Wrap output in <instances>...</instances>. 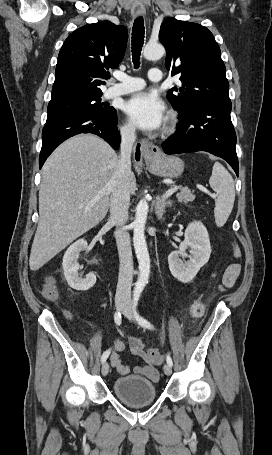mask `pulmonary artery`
Returning <instances> with one entry per match:
<instances>
[{"instance_id": "pulmonary-artery-1", "label": "pulmonary artery", "mask_w": 272, "mask_h": 455, "mask_svg": "<svg viewBox=\"0 0 272 455\" xmlns=\"http://www.w3.org/2000/svg\"><path fill=\"white\" fill-rule=\"evenodd\" d=\"M148 76L152 82H160L163 78L161 70L157 68L150 69ZM116 78L120 82L113 84L107 89L104 95L107 99L135 92L144 87V81L140 78L131 77L125 74L117 75Z\"/></svg>"}]
</instances>
